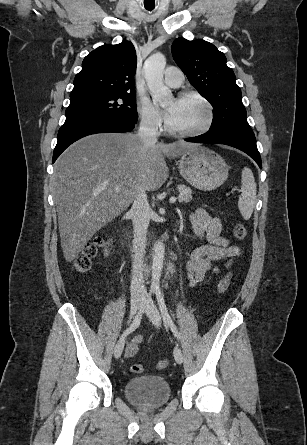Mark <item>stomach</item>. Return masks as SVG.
<instances>
[{"mask_svg":"<svg viewBox=\"0 0 307 445\" xmlns=\"http://www.w3.org/2000/svg\"><path fill=\"white\" fill-rule=\"evenodd\" d=\"M178 168L185 180L200 190L221 186L227 180L229 170L224 158L206 146L187 150L178 160Z\"/></svg>","mask_w":307,"mask_h":445,"instance_id":"0dacf381","label":"stomach"}]
</instances>
